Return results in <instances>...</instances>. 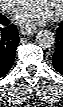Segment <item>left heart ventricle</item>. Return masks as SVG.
<instances>
[{"label":"left heart ventricle","mask_w":63,"mask_h":107,"mask_svg":"<svg viewBox=\"0 0 63 107\" xmlns=\"http://www.w3.org/2000/svg\"><path fill=\"white\" fill-rule=\"evenodd\" d=\"M32 2L39 3L52 15H54L60 7V0H56V1L35 0Z\"/></svg>","instance_id":"1"}]
</instances>
